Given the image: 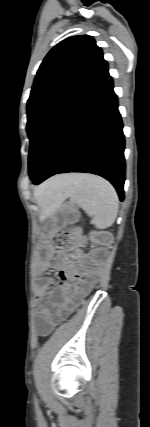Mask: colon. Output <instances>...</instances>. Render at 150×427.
<instances>
[{"mask_svg":"<svg viewBox=\"0 0 150 427\" xmlns=\"http://www.w3.org/2000/svg\"><path fill=\"white\" fill-rule=\"evenodd\" d=\"M59 238L60 239H62V237L61 236H59ZM60 277H61V279L62 280H64V281H66V280H76V279H78L80 276H79V274H68V273H65V272H61L60 273Z\"/></svg>","mask_w":150,"mask_h":427,"instance_id":"1","label":"colon"}]
</instances>
